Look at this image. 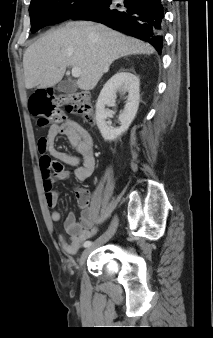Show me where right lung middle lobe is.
Segmentation results:
<instances>
[{"instance_id": "1", "label": "right lung middle lobe", "mask_w": 213, "mask_h": 338, "mask_svg": "<svg viewBox=\"0 0 213 338\" xmlns=\"http://www.w3.org/2000/svg\"><path fill=\"white\" fill-rule=\"evenodd\" d=\"M95 0H32L29 7L31 31L63 22Z\"/></svg>"}]
</instances>
